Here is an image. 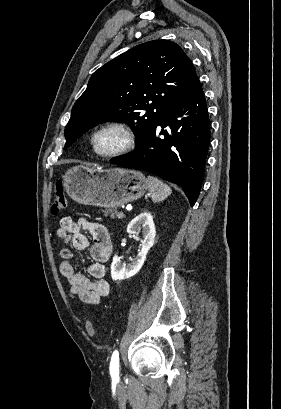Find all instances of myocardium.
Returning <instances> with one entry per match:
<instances>
[{
	"label": "myocardium",
	"mask_w": 281,
	"mask_h": 409,
	"mask_svg": "<svg viewBox=\"0 0 281 409\" xmlns=\"http://www.w3.org/2000/svg\"><path fill=\"white\" fill-rule=\"evenodd\" d=\"M113 135L116 138L114 147L107 151L98 149V140L103 135ZM136 133L122 122H108L96 128L91 136L90 144L92 151L101 157L114 158L130 151L136 144Z\"/></svg>",
	"instance_id": "myocardium-1"
}]
</instances>
